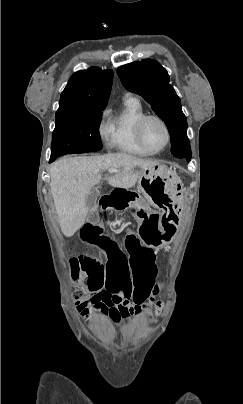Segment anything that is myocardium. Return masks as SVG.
Wrapping results in <instances>:
<instances>
[{
	"label": "myocardium",
	"mask_w": 243,
	"mask_h": 404,
	"mask_svg": "<svg viewBox=\"0 0 243 404\" xmlns=\"http://www.w3.org/2000/svg\"><path fill=\"white\" fill-rule=\"evenodd\" d=\"M150 119H156L159 122H161L167 132V142H166L165 146L160 149H155V148L151 147L144 139L143 127L146 124V122L149 121ZM135 133H136V137H137L139 143L144 148H146L147 150H149L153 153H160V152L166 150L172 142V130H171L168 122L162 116H160L158 114H154V113H146L136 122Z\"/></svg>",
	"instance_id": "obj_1"
}]
</instances>
